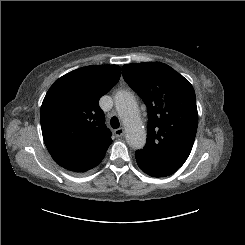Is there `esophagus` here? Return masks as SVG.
Wrapping results in <instances>:
<instances>
[{
    "label": "esophagus",
    "mask_w": 245,
    "mask_h": 245,
    "mask_svg": "<svg viewBox=\"0 0 245 245\" xmlns=\"http://www.w3.org/2000/svg\"><path fill=\"white\" fill-rule=\"evenodd\" d=\"M114 133H115V135H116L117 137H121V136L124 135V129H123V128H118V129H116V130L114 131Z\"/></svg>",
    "instance_id": "1"
}]
</instances>
